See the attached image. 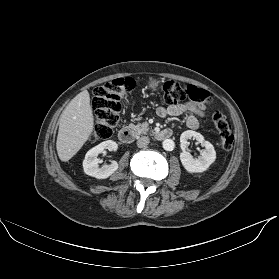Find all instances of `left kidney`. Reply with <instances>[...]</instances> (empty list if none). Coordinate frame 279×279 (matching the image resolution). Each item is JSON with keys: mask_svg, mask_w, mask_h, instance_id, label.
Returning a JSON list of instances; mask_svg holds the SVG:
<instances>
[{"mask_svg": "<svg viewBox=\"0 0 279 279\" xmlns=\"http://www.w3.org/2000/svg\"><path fill=\"white\" fill-rule=\"evenodd\" d=\"M191 138L198 141L205 149L201 155L194 158L189 152L186 151L188 140ZM180 143L182 152L180 153V160L184 168L190 173H201L206 171L216 159V152L213 145L206 141L204 137L195 131H184L180 136Z\"/></svg>", "mask_w": 279, "mask_h": 279, "instance_id": "1", "label": "left kidney"}]
</instances>
